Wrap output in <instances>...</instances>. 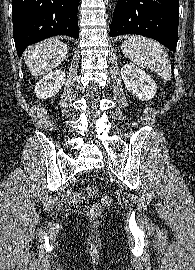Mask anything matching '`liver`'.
Masks as SVG:
<instances>
[{"instance_id":"obj_1","label":"liver","mask_w":195,"mask_h":270,"mask_svg":"<svg viewBox=\"0 0 195 270\" xmlns=\"http://www.w3.org/2000/svg\"><path fill=\"white\" fill-rule=\"evenodd\" d=\"M68 47L57 38L44 40L24 52L25 64L35 77L56 68L66 58Z\"/></svg>"}]
</instances>
